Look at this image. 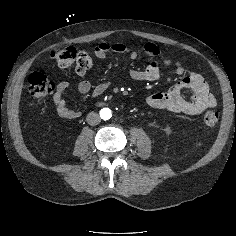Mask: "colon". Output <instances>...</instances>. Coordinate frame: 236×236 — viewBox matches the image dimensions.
I'll return each mask as SVG.
<instances>
[{"mask_svg":"<svg viewBox=\"0 0 236 236\" xmlns=\"http://www.w3.org/2000/svg\"><path fill=\"white\" fill-rule=\"evenodd\" d=\"M52 60L61 68H74L78 74H85L92 67V59L84 51L74 47H64L51 52ZM54 90V83L44 71L33 72L28 79V94L32 99L49 96ZM204 123L214 127L219 121L217 112L208 111L203 117Z\"/></svg>","mask_w":236,"mask_h":236,"instance_id":"colon-1","label":"colon"}]
</instances>
